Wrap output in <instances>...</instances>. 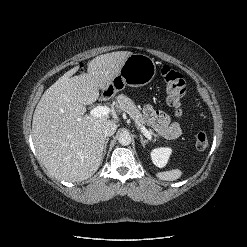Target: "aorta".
Returning a JSON list of instances; mask_svg holds the SVG:
<instances>
[{"mask_svg":"<svg viewBox=\"0 0 247 247\" xmlns=\"http://www.w3.org/2000/svg\"><path fill=\"white\" fill-rule=\"evenodd\" d=\"M132 138L131 135L127 132H123L119 135L118 137V142L122 145V146H127L131 143Z\"/></svg>","mask_w":247,"mask_h":247,"instance_id":"762f6f07","label":"aorta"}]
</instances>
